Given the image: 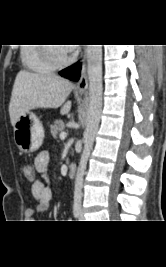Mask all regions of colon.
Instances as JSON below:
<instances>
[{
    "label": "colon",
    "instance_id": "5ec220e1",
    "mask_svg": "<svg viewBox=\"0 0 166 267\" xmlns=\"http://www.w3.org/2000/svg\"><path fill=\"white\" fill-rule=\"evenodd\" d=\"M23 172L24 173H22V178H31V181L33 180L32 178H35V173H33V167L31 165H24Z\"/></svg>",
    "mask_w": 166,
    "mask_h": 267
}]
</instances>
